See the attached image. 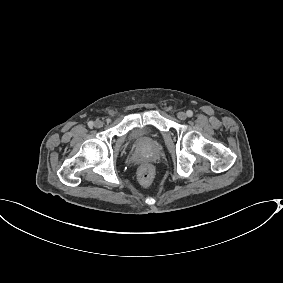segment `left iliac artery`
Here are the masks:
<instances>
[{
  "label": "left iliac artery",
  "mask_w": 283,
  "mask_h": 283,
  "mask_svg": "<svg viewBox=\"0 0 283 283\" xmlns=\"http://www.w3.org/2000/svg\"><path fill=\"white\" fill-rule=\"evenodd\" d=\"M186 114H187L188 117H192L193 116V112L191 110H188L186 112Z\"/></svg>",
  "instance_id": "1"
}]
</instances>
